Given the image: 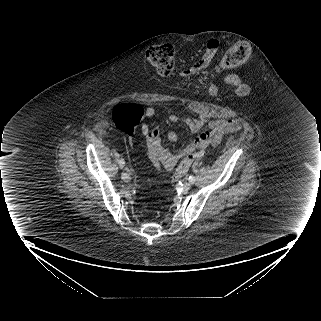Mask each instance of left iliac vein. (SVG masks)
Instances as JSON below:
<instances>
[{"instance_id": "4c4485c4", "label": "left iliac vein", "mask_w": 321, "mask_h": 321, "mask_svg": "<svg viewBox=\"0 0 321 321\" xmlns=\"http://www.w3.org/2000/svg\"><path fill=\"white\" fill-rule=\"evenodd\" d=\"M191 182L190 181H186L183 183V191L187 192L190 188H191Z\"/></svg>"}]
</instances>
